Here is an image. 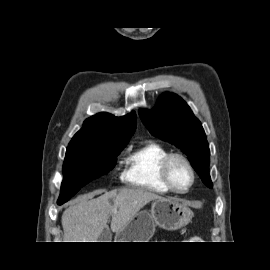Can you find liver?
Instances as JSON below:
<instances>
[{"label":"liver","mask_w":270,"mask_h":270,"mask_svg":"<svg viewBox=\"0 0 270 270\" xmlns=\"http://www.w3.org/2000/svg\"><path fill=\"white\" fill-rule=\"evenodd\" d=\"M102 192L95 191L81 197L75 205L63 212L64 242H99V236L107 227L110 216V228L118 232L147 203L162 198L137 188L114 189L94 198Z\"/></svg>","instance_id":"6515ba94"}]
</instances>
